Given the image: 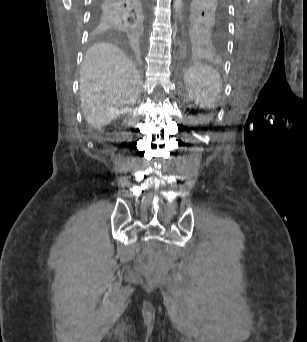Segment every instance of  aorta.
<instances>
[{
	"mask_svg": "<svg viewBox=\"0 0 307 342\" xmlns=\"http://www.w3.org/2000/svg\"><path fill=\"white\" fill-rule=\"evenodd\" d=\"M181 2H182V0H175V2H174V8H175L177 14H180L179 8H181Z\"/></svg>",
	"mask_w": 307,
	"mask_h": 342,
	"instance_id": "762f6f07",
	"label": "aorta"
}]
</instances>
